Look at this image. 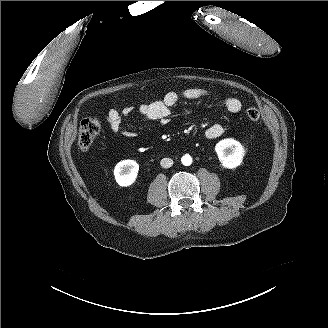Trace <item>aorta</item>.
Here are the masks:
<instances>
[{
  "instance_id": "1",
  "label": "aorta",
  "mask_w": 328,
  "mask_h": 328,
  "mask_svg": "<svg viewBox=\"0 0 328 328\" xmlns=\"http://www.w3.org/2000/svg\"><path fill=\"white\" fill-rule=\"evenodd\" d=\"M181 162L184 166H189L192 164V157L186 154L181 158Z\"/></svg>"
}]
</instances>
